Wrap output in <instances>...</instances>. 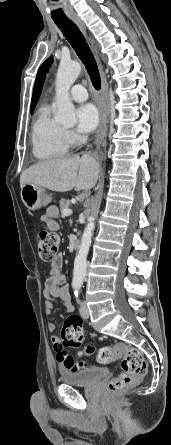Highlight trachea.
I'll return each instance as SVG.
<instances>
[{
  "instance_id": "3493384b",
  "label": "trachea",
  "mask_w": 171,
  "mask_h": 445,
  "mask_svg": "<svg viewBox=\"0 0 171 445\" xmlns=\"http://www.w3.org/2000/svg\"><path fill=\"white\" fill-rule=\"evenodd\" d=\"M54 22L84 64L90 76L93 87L96 90H99L101 88L100 73L96 60L83 34L81 33L77 25L70 19L54 20Z\"/></svg>"
}]
</instances>
